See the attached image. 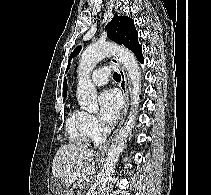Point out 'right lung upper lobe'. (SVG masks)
I'll use <instances>...</instances> for the list:
<instances>
[{
  "instance_id": "obj_1",
  "label": "right lung upper lobe",
  "mask_w": 211,
  "mask_h": 195,
  "mask_svg": "<svg viewBox=\"0 0 211 195\" xmlns=\"http://www.w3.org/2000/svg\"><path fill=\"white\" fill-rule=\"evenodd\" d=\"M63 95H64V97H66V95H67V81H66V79L64 80V83H63Z\"/></svg>"
}]
</instances>
